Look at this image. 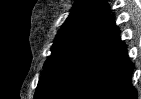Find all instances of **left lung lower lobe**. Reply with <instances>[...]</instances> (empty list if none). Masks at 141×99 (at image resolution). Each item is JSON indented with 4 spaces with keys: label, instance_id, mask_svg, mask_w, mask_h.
Listing matches in <instances>:
<instances>
[{
    "label": "left lung lower lobe",
    "instance_id": "obj_1",
    "mask_svg": "<svg viewBox=\"0 0 141 99\" xmlns=\"http://www.w3.org/2000/svg\"><path fill=\"white\" fill-rule=\"evenodd\" d=\"M133 68L109 17L39 99H137L130 82Z\"/></svg>",
    "mask_w": 141,
    "mask_h": 99
}]
</instances>
